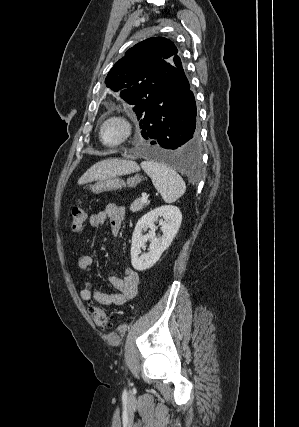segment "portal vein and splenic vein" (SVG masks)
I'll return each instance as SVG.
<instances>
[{
	"label": "portal vein and splenic vein",
	"mask_w": 299,
	"mask_h": 427,
	"mask_svg": "<svg viewBox=\"0 0 299 427\" xmlns=\"http://www.w3.org/2000/svg\"><path fill=\"white\" fill-rule=\"evenodd\" d=\"M141 200H142V202H147L148 201V197L147 196H143Z\"/></svg>",
	"instance_id": "1"
}]
</instances>
